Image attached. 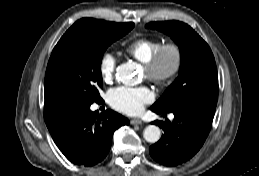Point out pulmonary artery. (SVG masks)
<instances>
[{
	"instance_id": "e3ab8cb5",
	"label": "pulmonary artery",
	"mask_w": 259,
	"mask_h": 176,
	"mask_svg": "<svg viewBox=\"0 0 259 176\" xmlns=\"http://www.w3.org/2000/svg\"><path fill=\"white\" fill-rule=\"evenodd\" d=\"M173 117H174L173 115L170 116L171 119H173Z\"/></svg>"
}]
</instances>
